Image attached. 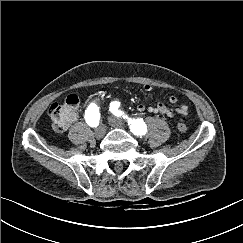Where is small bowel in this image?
<instances>
[{
  "instance_id": "obj_1",
  "label": "small bowel",
  "mask_w": 243,
  "mask_h": 243,
  "mask_svg": "<svg viewBox=\"0 0 243 243\" xmlns=\"http://www.w3.org/2000/svg\"><path fill=\"white\" fill-rule=\"evenodd\" d=\"M143 89L146 92H150L152 90V86L149 84L144 85ZM168 101L170 104L172 105H176L178 102V98L175 95H170L168 97ZM137 110L141 113L144 112H149L152 114H162V115H166L169 118H173L175 117V115L178 114H182V115H187L188 114V106L184 105V104H180L178 106L175 107H168L165 104H163L162 102H157L156 105L154 106H150L147 107L143 104H140L137 106Z\"/></svg>"
}]
</instances>
